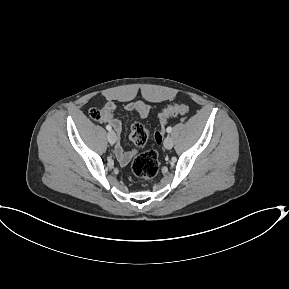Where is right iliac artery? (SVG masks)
Instances as JSON below:
<instances>
[{
	"label": "right iliac artery",
	"instance_id": "obj_1",
	"mask_svg": "<svg viewBox=\"0 0 289 289\" xmlns=\"http://www.w3.org/2000/svg\"><path fill=\"white\" fill-rule=\"evenodd\" d=\"M106 129H107L108 131H111L112 128H111L110 125H107V126H106Z\"/></svg>",
	"mask_w": 289,
	"mask_h": 289
}]
</instances>
